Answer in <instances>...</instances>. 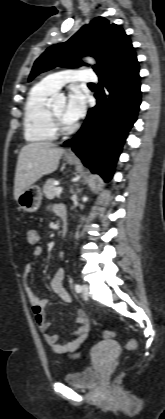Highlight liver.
<instances>
[{"mask_svg": "<svg viewBox=\"0 0 165 419\" xmlns=\"http://www.w3.org/2000/svg\"><path fill=\"white\" fill-rule=\"evenodd\" d=\"M65 150L50 142H35L25 145L18 156L14 198L27 187L33 185L44 175L57 170L59 160Z\"/></svg>", "mask_w": 165, "mask_h": 419, "instance_id": "obj_1", "label": "liver"}]
</instances>
